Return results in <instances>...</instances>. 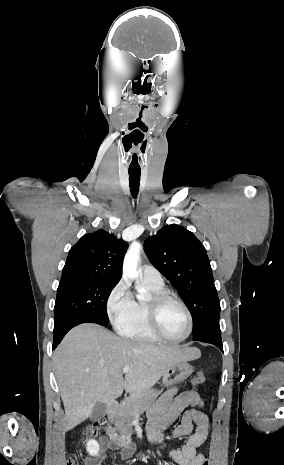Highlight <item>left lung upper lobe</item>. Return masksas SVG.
Here are the masks:
<instances>
[{"instance_id": "obj_1", "label": "left lung upper lobe", "mask_w": 284, "mask_h": 465, "mask_svg": "<svg viewBox=\"0 0 284 465\" xmlns=\"http://www.w3.org/2000/svg\"><path fill=\"white\" fill-rule=\"evenodd\" d=\"M145 253L177 289L193 318V336L219 325L220 303L203 244L176 224L167 225L145 240Z\"/></svg>"}]
</instances>
